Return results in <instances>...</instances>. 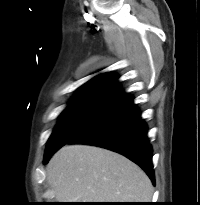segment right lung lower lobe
<instances>
[{
    "label": "right lung lower lobe",
    "mask_w": 200,
    "mask_h": 205,
    "mask_svg": "<svg viewBox=\"0 0 200 205\" xmlns=\"http://www.w3.org/2000/svg\"><path fill=\"white\" fill-rule=\"evenodd\" d=\"M67 143L95 145L118 152L139 165L154 183L152 147L147 138V126L131 95L121 97ZM58 149L48 154L44 163Z\"/></svg>",
    "instance_id": "98d812e1"
}]
</instances>
